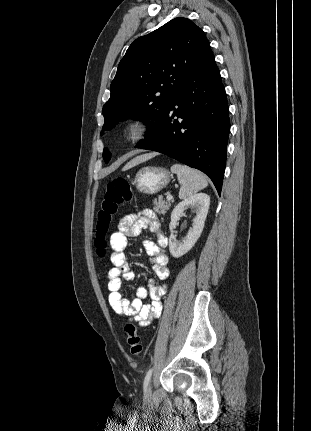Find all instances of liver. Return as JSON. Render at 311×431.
<instances>
[{
  "label": "liver",
  "mask_w": 311,
  "mask_h": 431,
  "mask_svg": "<svg viewBox=\"0 0 311 431\" xmlns=\"http://www.w3.org/2000/svg\"><path fill=\"white\" fill-rule=\"evenodd\" d=\"M152 158L151 154H144V156H136L133 160H130L126 166H124L123 170H130V168H134V166H138V164H142V162H146Z\"/></svg>",
  "instance_id": "obj_1"
}]
</instances>
